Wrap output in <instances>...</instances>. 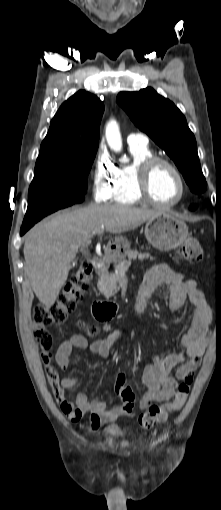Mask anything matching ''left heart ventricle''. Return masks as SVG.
<instances>
[{
  "mask_svg": "<svg viewBox=\"0 0 221 510\" xmlns=\"http://www.w3.org/2000/svg\"><path fill=\"white\" fill-rule=\"evenodd\" d=\"M150 191L158 202L169 203L176 200L180 194L177 176L166 165H159L151 175Z\"/></svg>",
  "mask_w": 221,
  "mask_h": 510,
  "instance_id": "obj_1",
  "label": "left heart ventricle"
}]
</instances>
